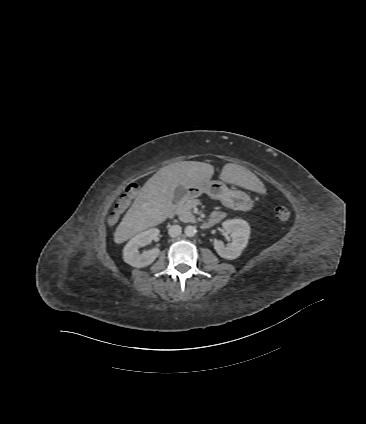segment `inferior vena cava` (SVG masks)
Segmentation results:
<instances>
[{"label":"inferior vena cava","mask_w":366,"mask_h":424,"mask_svg":"<svg viewBox=\"0 0 366 424\" xmlns=\"http://www.w3.org/2000/svg\"><path fill=\"white\" fill-rule=\"evenodd\" d=\"M181 232L182 228L179 225H172L168 230V233L171 237H177L181 234Z\"/></svg>","instance_id":"602c4592"}]
</instances>
